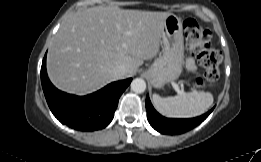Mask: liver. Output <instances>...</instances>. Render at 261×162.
Wrapping results in <instances>:
<instances>
[{
  "label": "liver",
  "mask_w": 261,
  "mask_h": 162,
  "mask_svg": "<svg viewBox=\"0 0 261 162\" xmlns=\"http://www.w3.org/2000/svg\"><path fill=\"white\" fill-rule=\"evenodd\" d=\"M170 14L103 6L72 14L49 47L51 81L63 91L86 95L117 80V66L126 68L121 78L133 76L144 60L157 55Z\"/></svg>",
  "instance_id": "liver-1"
}]
</instances>
